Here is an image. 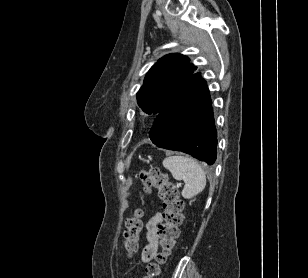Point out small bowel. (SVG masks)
<instances>
[{
	"instance_id": "small-bowel-1",
	"label": "small bowel",
	"mask_w": 308,
	"mask_h": 278,
	"mask_svg": "<svg viewBox=\"0 0 308 278\" xmlns=\"http://www.w3.org/2000/svg\"><path fill=\"white\" fill-rule=\"evenodd\" d=\"M162 222V215L160 213L154 214L147 223V244L143 248L142 254H141V260L143 262H149L154 258V255L156 254L158 250V238L156 229L159 224Z\"/></svg>"
}]
</instances>
